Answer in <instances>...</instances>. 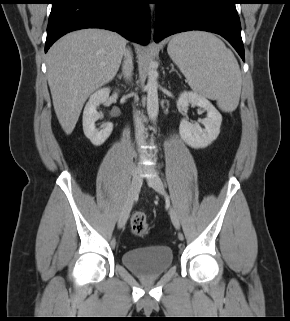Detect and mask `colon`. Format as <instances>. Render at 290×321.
I'll return each instance as SVG.
<instances>
[{
    "label": "colon",
    "mask_w": 290,
    "mask_h": 321,
    "mask_svg": "<svg viewBox=\"0 0 290 321\" xmlns=\"http://www.w3.org/2000/svg\"><path fill=\"white\" fill-rule=\"evenodd\" d=\"M130 228L134 235L145 237L149 232L148 219L145 213L135 212L130 220Z\"/></svg>",
    "instance_id": "obj_1"
}]
</instances>
